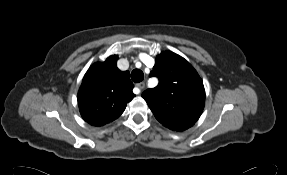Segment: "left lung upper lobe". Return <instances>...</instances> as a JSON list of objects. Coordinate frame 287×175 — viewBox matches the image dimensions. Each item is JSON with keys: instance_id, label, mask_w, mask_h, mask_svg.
Instances as JSON below:
<instances>
[{"instance_id": "obj_1", "label": "left lung upper lobe", "mask_w": 287, "mask_h": 175, "mask_svg": "<svg viewBox=\"0 0 287 175\" xmlns=\"http://www.w3.org/2000/svg\"><path fill=\"white\" fill-rule=\"evenodd\" d=\"M150 76H156L160 83L143 92L142 97L155 118L179 132L194 125L204 108L205 90L191 64L171 51L162 52Z\"/></svg>"}]
</instances>
